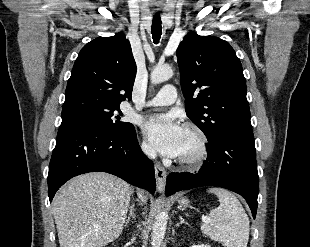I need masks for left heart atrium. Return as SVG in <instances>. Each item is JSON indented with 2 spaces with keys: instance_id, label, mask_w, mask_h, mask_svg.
<instances>
[{
  "instance_id": "obj_1",
  "label": "left heart atrium",
  "mask_w": 310,
  "mask_h": 247,
  "mask_svg": "<svg viewBox=\"0 0 310 247\" xmlns=\"http://www.w3.org/2000/svg\"><path fill=\"white\" fill-rule=\"evenodd\" d=\"M183 131L173 114L152 116L145 124V133L153 146L171 157L179 156Z\"/></svg>"
}]
</instances>
